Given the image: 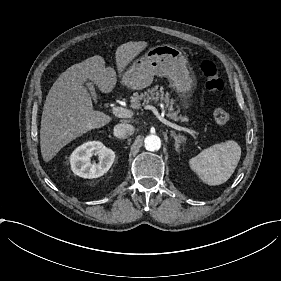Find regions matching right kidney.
Returning <instances> with one entry per match:
<instances>
[{"label":"right kidney","instance_id":"right-kidney-1","mask_svg":"<svg viewBox=\"0 0 281 281\" xmlns=\"http://www.w3.org/2000/svg\"><path fill=\"white\" fill-rule=\"evenodd\" d=\"M93 155L99 156V163H91ZM115 160L113 150L99 141H90L77 147L70 155L71 170L82 178H98L104 175Z\"/></svg>","mask_w":281,"mask_h":281}]
</instances>
